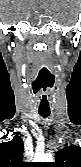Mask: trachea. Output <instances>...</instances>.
Returning a JSON list of instances; mask_svg holds the SVG:
<instances>
[{
  "mask_svg": "<svg viewBox=\"0 0 81 167\" xmlns=\"http://www.w3.org/2000/svg\"><path fill=\"white\" fill-rule=\"evenodd\" d=\"M39 114L43 117V118H46L50 112L49 111H39Z\"/></svg>",
  "mask_w": 81,
  "mask_h": 167,
  "instance_id": "obj_1",
  "label": "trachea"
}]
</instances>
